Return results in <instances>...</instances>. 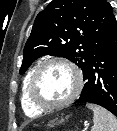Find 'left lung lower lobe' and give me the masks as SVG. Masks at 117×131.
Returning a JSON list of instances; mask_svg holds the SVG:
<instances>
[{
  "instance_id": "1",
  "label": "left lung lower lobe",
  "mask_w": 117,
  "mask_h": 131,
  "mask_svg": "<svg viewBox=\"0 0 117 131\" xmlns=\"http://www.w3.org/2000/svg\"><path fill=\"white\" fill-rule=\"evenodd\" d=\"M86 81L75 103L100 105L117 117V21L112 14L105 39L83 72Z\"/></svg>"
}]
</instances>
